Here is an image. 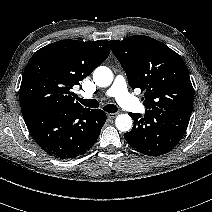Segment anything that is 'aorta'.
Listing matches in <instances>:
<instances>
[{
    "label": "aorta",
    "instance_id": "aorta-1",
    "mask_svg": "<svg viewBox=\"0 0 212 212\" xmlns=\"http://www.w3.org/2000/svg\"><path fill=\"white\" fill-rule=\"evenodd\" d=\"M93 80L99 87H108L113 81V73L106 66H99L93 72ZM132 118L128 114H119L115 119V126L121 132H127L132 127Z\"/></svg>",
    "mask_w": 212,
    "mask_h": 212
}]
</instances>
